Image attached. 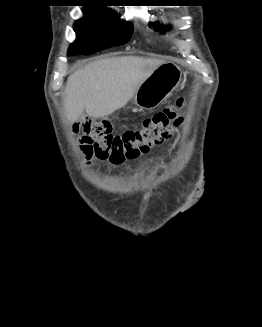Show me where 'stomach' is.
<instances>
[{"mask_svg":"<svg viewBox=\"0 0 262 327\" xmlns=\"http://www.w3.org/2000/svg\"><path fill=\"white\" fill-rule=\"evenodd\" d=\"M181 80L182 70L178 65L163 63L139 86L133 97V103L139 109H155L172 94Z\"/></svg>","mask_w":262,"mask_h":327,"instance_id":"obj_1","label":"stomach"}]
</instances>
